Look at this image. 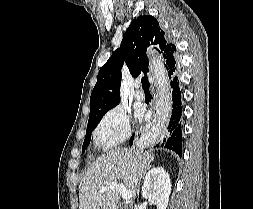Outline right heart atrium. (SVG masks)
Returning <instances> with one entry per match:
<instances>
[{"instance_id":"1","label":"right heart atrium","mask_w":253,"mask_h":209,"mask_svg":"<svg viewBox=\"0 0 253 209\" xmlns=\"http://www.w3.org/2000/svg\"><path fill=\"white\" fill-rule=\"evenodd\" d=\"M130 135L128 112L121 107H114L98 122L93 132V140L98 148L107 151L124 143Z\"/></svg>"}]
</instances>
